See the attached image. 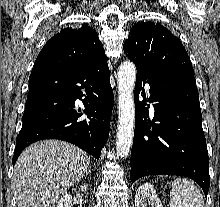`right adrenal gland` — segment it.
I'll list each match as a JSON object with an SVG mask.
<instances>
[{"instance_id":"1","label":"right adrenal gland","mask_w":220,"mask_h":207,"mask_svg":"<svg viewBox=\"0 0 220 207\" xmlns=\"http://www.w3.org/2000/svg\"><path fill=\"white\" fill-rule=\"evenodd\" d=\"M89 173H90V170H87V172H86V176H88Z\"/></svg>"}]
</instances>
